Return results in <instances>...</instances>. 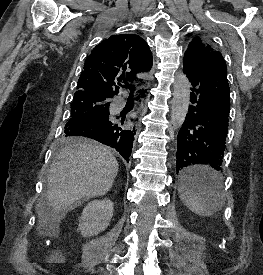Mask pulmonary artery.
<instances>
[{
  "mask_svg": "<svg viewBox=\"0 0 263 275\" xmlns=\"http://www.w3.org/2000/svg\"><path fill=\"white\" fill-rule=\"evenodd\" d=\"M114 107L116 108V109H118V108H120L122 105H123V101H122V99H120V98H118V99H115V101H114Z\"/></svg>",
  "mask_w": 263,
  "mask_h": 275,
  "instance_id": "obj_1",
  "label": "pulmonary artery"
}]
</instances>
